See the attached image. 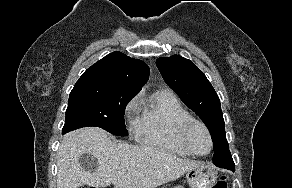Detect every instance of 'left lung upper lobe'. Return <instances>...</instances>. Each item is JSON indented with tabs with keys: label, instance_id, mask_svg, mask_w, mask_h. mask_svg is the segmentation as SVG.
<instances>
[{
	"label": "left lung upper lobe",
	"instance_id": "left-lung-upper-lobe-1",
	"mask_svg": "<svg viewBox=\"0 0 292 188\" xmlns=\"http://www.w3.org/2000/svg\"><path fill=\"white\" fill-rule=\"evenodd\" d=\"M156 65L167 85L209 129L214 148L213 163L226 162L228 158H232L226 140L220 100L204 73L189 59L179 55L158 58Z\"/></svg>",
	"mask_w": 292,
	"mask_h": 188
}]
</instances>
